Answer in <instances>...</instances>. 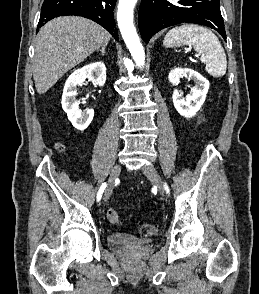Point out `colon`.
<instances>
[{
  "label": "colon",
  "instance_id": "colon-1",
  "mask_svg": "<svg viewBox=\"0 0 259 294\" xmlns=\"http://www.w3.org/2000/svg\"><path fill=\"white\" fill-rule=\"evenodd\" d=\"M59 149H62V145L58 146ZM107 218L109 222L113 225H120L121 220L117 213V211L114 208H109L107 210ZM157 228L153 224L149 223H142L137 228L136 234L139 237H149L156 233Z\"/></svg>",
  "mask_w": 259,
  "mask_h": 294
}]
</instances>
